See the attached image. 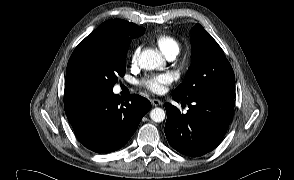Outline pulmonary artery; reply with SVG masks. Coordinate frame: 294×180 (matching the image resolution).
Masks as SVG:
<instances>
[{"instance_id": "pulmonary-artery-1", "label": "pulmonary artery", "mask_w": 294, "mask_h": 180, "mask_svg": "<svg viewBox=\"0 0 294 180\" xmlns=\"http://www.w3.org/2000/svg\"><path fill=\"white\" fill-rule=\"evenodd\" d=\"M176 56L177 55H175V54H170V55L166 56V58H167V60L172 61L176 58Z\"/></svg>"}]
</instances>
